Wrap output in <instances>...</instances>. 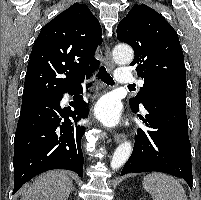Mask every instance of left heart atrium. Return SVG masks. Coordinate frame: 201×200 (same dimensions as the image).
Masks as SVG:
<instances>
[{
  "mask_svg": "<svg viewBox=\"0 0 201 200\" xmlns=\"http://www.w3.org/2000/svg\"><path fill=\"white\" fill-rule=\"evenodd\" d=\"M96 113L101 121L108 126H115L120 122V114L115 102L103 99L99 102Z\"/></svg>",
  "mask_w": 201,
  "mask_h": 200,
  "instance_id": "39dd6f15",
  "label": "left heart atrium"
}]
</instances>
